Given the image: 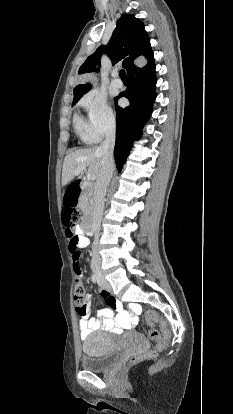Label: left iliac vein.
<instances>
[{"label":"left iliac vein","mask_w":233,"mask_h":414,"mask_svg":"<svg viewBox=\"0 0 233 414\" xmlns=\"http://www.w3.org/2000/svg\"><path fill=\"white\" fill-rule=\"evenodd\" d=\"M100 284L102 285L103 284V281H100Z\"/></svg>","instance_id":"left-iliac-vein-1"}]
</instances>
